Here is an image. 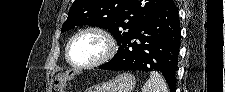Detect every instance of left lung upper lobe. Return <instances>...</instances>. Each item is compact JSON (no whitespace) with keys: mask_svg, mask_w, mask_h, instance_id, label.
<instances>
[{"mask_svg":"<svg viewBox=\"0 0 225 92\" xmlns=\"http://www.w3.org/2000/svg\"><path fill=\"white\" fill-rule=\"evenodd\" d=\"M166 0H75L61 33L79 25L108 29L118 46L128 41L138 27Z\"/></svg>","mask_w":225,"mask_h":92,"instance_id":"5c2ea615","label":"left lung upper lobe"}]
</instances>
